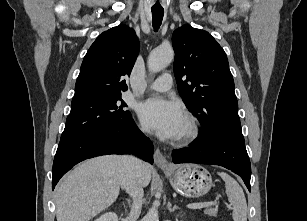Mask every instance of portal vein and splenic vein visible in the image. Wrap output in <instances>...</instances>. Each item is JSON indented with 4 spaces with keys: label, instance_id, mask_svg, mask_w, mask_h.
Here are the masks:
<instances>
[{
    "label": "portal vein and splenic vein",
    "instance_id": "18ae733b",
    "mask_svg": "<svg viewBox=\"0 0 307 221\" xmlns=\"http://www.w3.org/2000/svg\"><path fill=\"white\" fill-rule=\"evenodd\" d=\"M212 205H217V202L193 203V204H188L187 208H189V209H201V208L212 206Z\"/></svg>",
    "mask_w": 307,
    "mask_h": 221
}]
</instances>
